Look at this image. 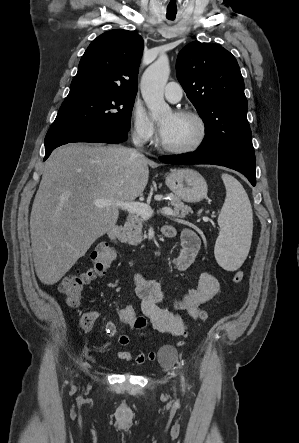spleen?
Listing matches in <instances>:
<instances>
[{
  "mask_svg": "<svg viewBox=\"0 0 299 443\" xmlns=\"http://www.w3.org/2000/svg\"><path fill=\"white\" fill-rule=\"evenodd\" d=\"M226 198L218 217L220 233L215 243L217 263L235 271L245 261L252 238L253 213L243 186L233 176L222 174Z\"/></svg>",
  "mask_w": 299,
  "mask_h": 443,
  "instance_id": "1",
  "label": "spleen"
}]
</instances>
